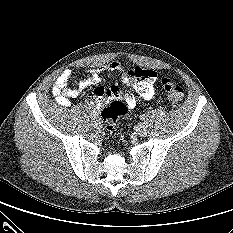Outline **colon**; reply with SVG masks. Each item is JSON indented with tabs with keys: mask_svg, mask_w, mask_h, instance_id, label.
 I'll use <instances>...</instances> for the list:
<instances>
[{
	"mask_svg": "<svg viewBox=\"0 0 233 233\" xmlns=\"http://www.w3.org/2000/svg\"><path fill=\"white\" fill-rule=\"evenodd\" d=\"M129 78L135 83L150 81L151 73L140 67L134 66L128 72ZM163 89L167 94V98L172 107L180 106L184 91L183 88L176 83L164 78L161 81ZM128 110V106L124 99L114 98L101 112V117L104 121L103 131L105 134H110L113 130L116 120L123 116Z\"/></svg>",
	"mask_w": 233,
	"mask_h": 233,
	"instance_id": "obj_1",
	"label": "colon"
}]
</instances>
